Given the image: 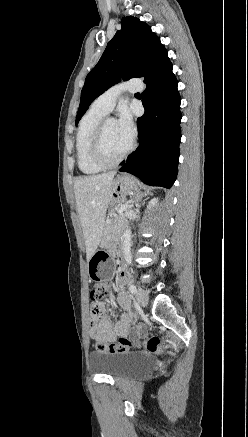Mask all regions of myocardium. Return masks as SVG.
Masks as SVG:
<instances>
[{
  "instance_id": "f54148a6",
  "label": "myocardium",
  "mask_w": 248,
  "mask_h": 437,
  "mask_svg": "<svg viewBox=\"0 0 248 437\" xmlns=\"http://www.w3.org/2000/svg\"><path fill=\"white\" fill-rule=\"evenodd\" d=\"M110 120H114V119L109 117H104L99 122L94 132L93 139L91 142V147H90V153L93 161L102 168H112L118 165L132 152L135 146L134 141L131 140L126 150L117 158L113 160H109L106 158V156L103 153V139H104V131H105L106 124Z\"/></svg>"
}]
</instances>
